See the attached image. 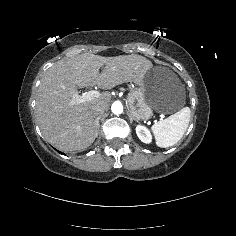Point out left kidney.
I'll return each instance as SVG.
<instances>
[{
    "instance_id": "obj_1",
    "label": "left kidney",
    "mask_w": 236,
    "mask_h": 236,
    "mask_svg": "<svg viewBox=\"0 0 236 236\" xmlns=\"http://www.w3.org/2000/svg\"><path fill=\"white\" fill-rule=\"evenodd\" d=\"M138 138L145 144H151L153 135L150 129L142 124H137L135 127Z\"/></svg>"
}]
</instances>
